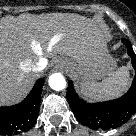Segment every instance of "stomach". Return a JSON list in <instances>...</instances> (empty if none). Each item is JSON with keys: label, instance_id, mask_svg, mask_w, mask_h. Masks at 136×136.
<instances>
[{"label": "stomach", "instance_id": "1", "mask_svg": "<svg viewBox=\"0 0 136 136\" xmlns=\"http://www.w3.org/2000/svg\"><path fill=\"white\" fill-rule=\"evenodd\" d=\"M57 66L70 71L77 69L84 80L94 81L110 73L114 68V63L107 50L99 48L88 55L64 56L59 59Z\"/></svg>", "mask_w": 136, "mask_h": 136}]
</instances>
